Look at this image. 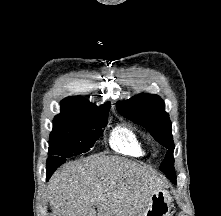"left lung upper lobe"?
<instances>
[{"label": "left lung upper lobe", "instance_id": "left-lung-upper-lobe-1", "mask_svg": "<svg viewBox=\"0 0 221 216\" xmlns=\"http://www.w3.org/2000/svg\"><path fill=\"white\" fill-rule=\"evenodd\" d=\"M116 108L127 119L145 127L156 141L168 149L160 170L176 183L172 128L165 112L164 101L158 95L140 94L125 101H118Z\"/></svg>", "mask_w": 221, "mask_h": 216}]
</instances>
